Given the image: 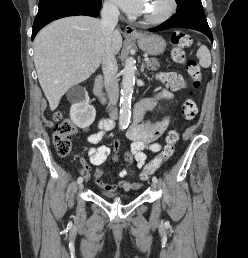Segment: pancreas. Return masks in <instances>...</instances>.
I'll list each match as a JSON object with an SVG mask.
<instances>
[{"mask_svg": "<svg viewBox=\"0 0 248 258\" xmlns=\"http://www.w3.org/2000/svg\"><path fill=\"white\" fill-rule=\"evenodd\" d=\"M146 67L149 70L155 71L157 70L158 67H160V63L158 62L157 59L151 58L149 61L146 62Z\"/></svg>", "mask_w": 248, "mask_h": 258, "instance_id": "cf45deb5", "label": "pancreas"}]
</instances>
